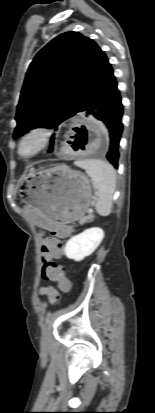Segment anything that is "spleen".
<instances>
[{
  "mask_svg": "<svg viewBox=\"0 0 155 413\" xmlns=\"http://www.w3.org/2000/svg\"><path fill=\"white\" fill-rule=\"evenodd\" d=\"M74 164L84 169L91 178L96 193V212L104 217L110 215L116 187V172L113 166L97 159L79 160Z\"/></svg>",
  "mask_w": 155,
  "mask_h": 413,
  "instance_id": "1",
  "label": "spleen"
}]
</instances>
